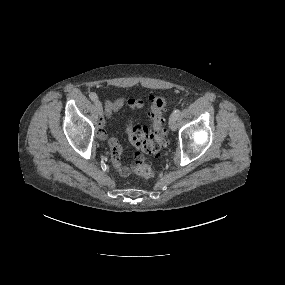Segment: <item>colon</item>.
<instances>
[{
	"mask_svg": "<svg viewBox=\"0 0 285 285\" xmlns=\"http://www.w3.org/2000/svg\"><path fill=\"white\" fill-rule=\"evenodd\" d=\"M150 102V126L144 128L131 122L126 131L130 143L137 150L134 172L144 179H152L155 171L144 162L143 153L157 155L166 145V114L171 107L170 101L164 96H153Z\"/></svg>",
	"mask_w": 285,
	"mask_h": 285,
	"instance_id": "colon-1",
	"label": "colon"
}]
</instances>
